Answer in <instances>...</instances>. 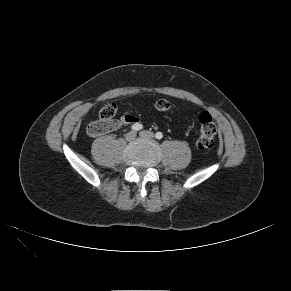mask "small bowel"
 I'll list each match as a JSON object with an SVG mask.
<instances>
[{"instance_id":"obj_1","label":"small bowel","mask_w":291,"mask_h":291,"mask_svg":"<svg viewBox=\"0 0 291 291\" xmlns=\"http://www.w3.org/2000/svg\"><path fill=\"white\" fill-rule=\"evenodd\" d=\"M139 117L134 114H125L112 121V130H118L123 126L139 123Z\"/></svg>"}]
</instances>
